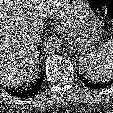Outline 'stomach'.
<instances>
[{"label": "stomach", "instance_id": "stomach-1", "mask_svg": "<svg viewBox=\"0 0 113 113\" xmlns=\"http://www.w3.org/2000/svg\"><path fill=\"white\" fill-rule=\"evenodd\" d=\"M71 12L64 25L74 40L76 50L85 53L94 51L102 32V22L84 0H69Z\"/></svg>", "mask_w": 113, "mask_h": 113}]
</instances>
